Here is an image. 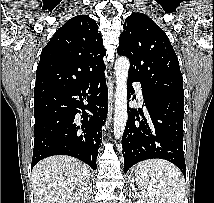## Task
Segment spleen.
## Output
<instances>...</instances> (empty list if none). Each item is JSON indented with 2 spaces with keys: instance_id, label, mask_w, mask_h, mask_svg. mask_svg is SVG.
<instances>
[{
  "instance_id": "3e777b00",
  "label": "spleen",
  "mask_w": 214,
  "mask_h": 203,
  "mask_svg": "<svg viewBox=\"0 0 214 203\" xmlns=\"http://www.w3.org/2000/svg\"><path fill=\"white\" fill-rule=\"evenodd\" d=\"M136 184L143 188L142 203H183L185 182L179 169L164 160H146L137 165Z\"/></svg>"
}]
</instances>
